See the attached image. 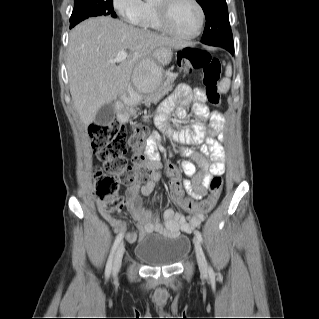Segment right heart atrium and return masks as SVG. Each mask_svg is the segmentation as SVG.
<instances>
[{
	"mask_svg": "<svg viewBox=\"0 0 319 319\" xmlns=\"http://www.w3.org/2000/svg\"><path fill=\"white\" fill-rule=\"evenodd\" d=\"M113 7L127 23L138 25L144 9L142 0H113Z\"/></svg>",
	"mask_w": 319,
	"mask_h": 319,
	"instance_id": "d8ad5b80",
	"label": "right heart atrium"
}]
</instances>
